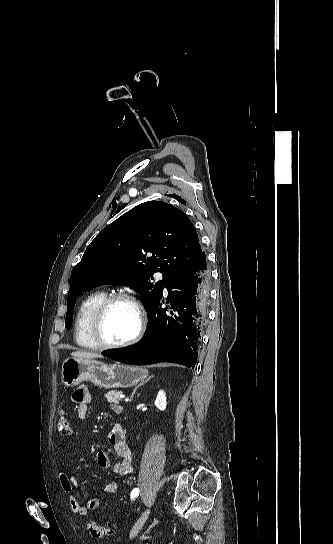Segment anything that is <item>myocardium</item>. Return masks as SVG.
Masks as SVG:
<instances>
[{"label": "myocardium", "instance_id": "1", "mask_svg": "<svg viewBox=\"0 0 333 544\" xmlns=\"http://www.w3.org/2000/svg\"><path fill=\"white\" fill-rule=\"evenodd\" d=\"M127 302L132 305L137 313L138 324L134 334L125 341L119 343L106 342L102 337V322L109 307L116 302ZM146 328V314L139 300L127 293H115L106 296L94 310L89 324V333L93 342L102 349H119L136 343Z\"/></svg>", "mask_w": 333, "mask_h": 544}]
</instances>
